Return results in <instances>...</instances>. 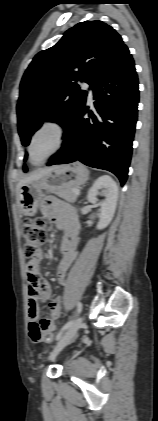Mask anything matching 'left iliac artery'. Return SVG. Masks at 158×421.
Masks as SVG:
<instances>
[{"instance_id": "obj_1", "label": "left iliac artery", "mask_w": 158, "mask_h": 421, "mask_svg": "<svg viewBox=\"0 0 158 421\" xmlns=\"http://www.w3.org/2000/svg\"><path fill=\"white\" fill-rule=\"evenodd\" d=\"M82 311V304L80 302H78L77 304V314L76 316H78ZM74 322V319L68 321L62 328L61 330L58 332V334L56 335V340H60L64 331H66Z\"/></svg>"}]
</instances>
